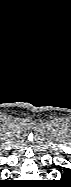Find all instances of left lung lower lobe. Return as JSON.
<instances>
[{"label": "left lung lower lobe", "mask_w": 71, "mask_h": 187, "mask_svg": "<svg viewBox=\"0 0 71 187\" xmlns=\"http://www.w3.org/2000/svg\"><path fill=\"white\" fill-rule=\"evenodd\" d=\"M62 178H63V179H69V178H70V171H69V170H66V171L63 173Z\"/></svg>", "instance_id": "1"}]
</instances>
